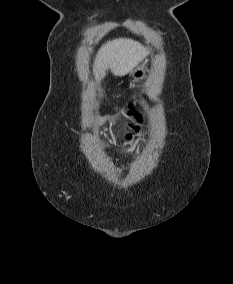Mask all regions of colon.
<instances>
[{
    "instance_id": "obj_1",
    "label": "colon",
    "mask_w": 233,
    "mask_h": 284,
    "mask_svg": "<svg viewBox=\"0 0 233 284\" xmlns=\"http://www.w3.org/2000/svg\"><path fill=\"white\" fill-rule=\"evenodd\" d=\"M142 122V116L141 114L135 109L133 105L129 106L128 110V122L124 124V131H126L128 134L127 137L131 136V133L137 132L139 130V125Z\"/></svg>"
}]
</instances>
